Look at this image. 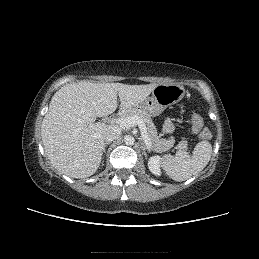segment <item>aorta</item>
Wrapping results in <instances>:
<instances>
[{
    "label": "aorta",
    "instance_id": "aorta-1",
    "mask_svg": "<svg viewBox=\"0 0 259 259\" xmlns=\"http://www.w3.org/2000/svg\"><path fill=\"white\" fill-rule=\"evenodd\" d=\"M124 142H125V144L128 145V146H132V145H134V143H135V139H134L133 136L127 135V136L124 138Z\"/></svg>",
    "mask_w": 259,
    "mask_h": 259
}]
</instances>
